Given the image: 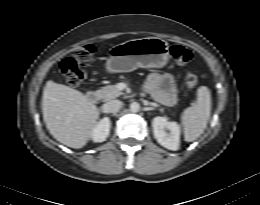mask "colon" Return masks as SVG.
I'll list each match as a JSON object with an SVG mask.
<instances>
[{"label":"colon","instance_id":"colon-1","mask_svg":"<svg viewBox=\"0 0 260 205\" xmlns=\"http://www.w3.org/2000/svg\"><path fill=\"white\" fill-rule=\"evenodd\" d=\"M95 53L96 48L93 44L83 45L74 50L70 57L62 60L61 71L69 85L79 86L83 83L85 73L81 67L90 64ZM170 53L173 61L180 65L187 64L192 59L191 51L181 45H173ZM185 80L190 89L195 88L198 83V77L194 72H188Z\"/></svg>","mask_w":260,"mask_h":205}]
</instances>
